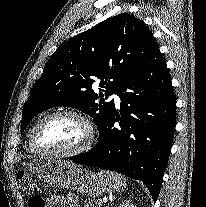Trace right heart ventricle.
<instances>
[{
	"mask_svg": "<svg viewBox=\"0 0 206 207\" xmlns=\"http://www.w3.org/2000/svg\"><path fill=\"white\" fill-rule=\"evenodd\" d=\"M30 138V137H29ZM29 148H30V150L32 151V152H36L33 148H32V146H31V144H30V139H29Z\"/></svg>",
	"mask_w": 206,
	"mask_h": 207,
	"instance_id": "1",
	"label": "right heart ventricle"
}]
</instances>
